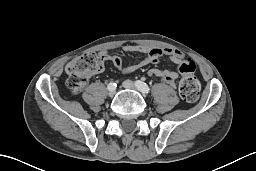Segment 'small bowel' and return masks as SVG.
Returning a JSON list of instances; mask_svg holds the SVG:
<instances>
[{
	"label": "small bowel",
	"mask_w": 256,
	"mask_h": 171,
	"mask_svg": "<svg viewBox=\"0 0 256 171\" xmlns=\"http://www.w3.org/2000/svg\"><path fill=\"white\" fill-rule=\"evenodd\" d=\"M123 51L128 53L140 52L144 54V57L140 60H137L130 66L123 67L122 60L118 55H109L106 51H101L99 53V56L103 61V65L98 71L103 70L104 63L107 61L111 62L122 72L130 73L143 66L158 63L159 59L162 56L167 57L178 66H180L181 61L184 59V54L182 52L168 47H151L145 45L127 44L123 46ZM148 75L161 80L162 82L168 84L171 87H175L176 81L180 75V71L151 69L148 71Z\"/></svg>",
	"instance_id": "small-bowel-1"
}]
</instances>
